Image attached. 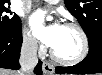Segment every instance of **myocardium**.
I'll return each mask as SVG.
<instances>
[{
    "label": "myocardium",
    "instance_id": "1",
    "mask_svg": "<svg viewBox=\"0 0 102 75\" xmlns=\"http://www.w3.org/2000/svg\"><path fill=\"white\" fill-rule=\"evenodd\" d=\"M63 26L73 28L78 32V34L80 35L81 41H82L81 52L79 53L78 56H76L73 59H64V58L58 56L53 51L52 48L50 49V54H51L52 59L58 63L64 64V65H74V64H77L80 61H82L87 56L88 51H89V40H88L87 34L84 31V29L82 28V26L79 25L78 23H76L75 21L67 20L63 23Z\"/></svg>",
    "mask_w": 102,
    "mask_h": 75
}]
</instances>
